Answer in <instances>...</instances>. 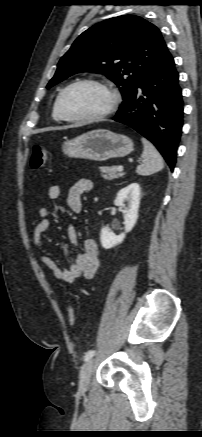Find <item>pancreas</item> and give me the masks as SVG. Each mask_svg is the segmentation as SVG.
<instances>
[{
	"instance_id": "cf45deb5",
	"label": "pancreas",
	"mask_w": 202,
	"mask_h": 437,
	"mask_svg": "<svg viewBox=\"0 0 202 437\" xmlns=\"http://www.w3.org/2000/svg\"><path fill=\"white\" fill-rule=\"evenodd\" d=\"M100 172L102 173V177L106 180H113V179L122 177L124 175V173L117 171V166L100 167Z\"/></svg>"
}]
</instances>
